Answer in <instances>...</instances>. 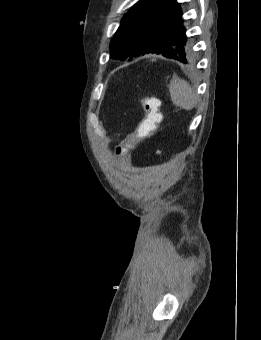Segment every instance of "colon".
<instances>
[{"mask_svg": "<svg viewBox=\"0 0 261 340\" xmlns=\"http://www.w3.org/2000/svg\"><path fill=\"white\" fill-rule=\"evenodd\" d=\"M137 103L144 111V117L136 129L117 147V154L128 151L139 141L151 136L162 120L161 102L158 98L144 97Z\"/></svg>", "mask_w": 261, "mask_h": 340, "instance_id": "5ec220e1", "label": "colon"}]
</instances>
